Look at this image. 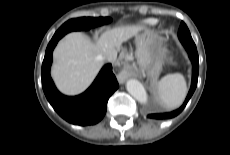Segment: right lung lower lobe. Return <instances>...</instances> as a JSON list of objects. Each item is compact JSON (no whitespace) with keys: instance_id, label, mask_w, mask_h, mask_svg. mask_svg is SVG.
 Wrapping results in <instances>:
<instances>
[{"instance_id":"98d812e1","label":"right lung lower lobe","mask_w":230,"mask_h":155,"mask_svg":"<svg viewBox=\"0 0 230 155\" xmlns=\"http://www.w3.org/2000/svg\"><path fill=\"white\" fill-rule=\"evenodd\" d=\"M60 38L49 42L42 63V87L45 96L54 110L66 121L76 125H93L105 115L109 97L119 85L112 72V65H105L93 84L82 94L75 97L62 95L50 77L52 52Z\"/></svg>"}]
</instances>
